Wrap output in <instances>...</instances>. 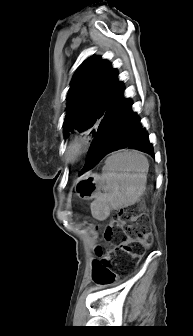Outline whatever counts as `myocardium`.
I'll return each instance as SVG.
<instances>
[{"instance_id":"obj_1","label":"myocardium","mask_w":193,"mask_h":336,"mask_svg":"<svg viewBox=\"0 0 193 336\" xmlns=\"http://www.w3.org/2000/svg\"><path fill=\"white\" fill-rule=\"evenodd\" d=\"M88 149L86 138L79 137L72 141L66 149V159L70 162L77 161Z\"/></svg>"}]
</instances>
